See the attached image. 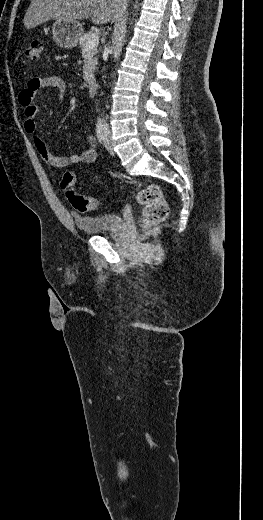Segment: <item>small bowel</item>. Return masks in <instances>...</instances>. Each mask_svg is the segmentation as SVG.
I'll use <instances>...</instances> for the list:
<instances>
[{
	"label": "small bowel",
	"instance_id": "obj_1",
	"mask_svg": "<svg viewBox=\"0 0 263 520\" xmlns=\"http://www.w3.org/2000/svg\"><path fill=\"white\" fill-rule=\"evenodd\" d=\"M43 88H53L59 95H62L66 90V84L64 80L57 75L45 78H32L27 82L26 86L19 94V102L24 109L25 116L24 130L28 134L34 136V144L40 157L45 162L56 168H64L81 163H93L97 158V152L95 149V139L91 134L87 135L89 143L88 149L82 153H74L69 156L52 152L47 144L36 135L37 123L35 118L39 109L38 106L34 104L33 100L36 93Z\"/></svg>",
	"mask_w": 263,
	"mask_h": 520
}]
</instances>
